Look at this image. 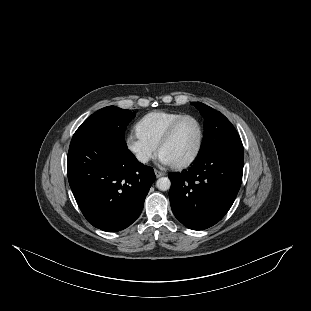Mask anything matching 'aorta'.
<instances>
[{
    "mask_svg": "<svg viewBox=\"0 0 311 311\" xmlns=\"http://www.w3.org/2000/svg\"><path fill=\"white\" fill-rule=\"evenodd\" d=\"M156 187L161 191H167L171 187V181L168 177H161L157 180Z\"/></svg>",
    "mask_w": 311,
    "mask_h": 311,
    "instance_id": "1",
    "label": "aorta"
}]
</instances>
